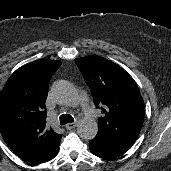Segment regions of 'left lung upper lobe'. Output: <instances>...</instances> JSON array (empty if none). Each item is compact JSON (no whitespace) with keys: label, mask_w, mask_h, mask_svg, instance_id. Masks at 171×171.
Returning <instances> with one entry per match:
<instances>
[{"label":"left lung upper lobe","mask_w":171,"mask_h":171,"mask_svg":"<svg viewBox=\"0 0 171 171\" xmlns=\"http://www.w3.org/2000/svg\"><path fill=\"white\" fill-rule=\"evenodd\" d=\"M102 117L97 135L127 150L141 130L145 107L133 78L112 61L99 56L75 59Z\"/></svg>","instance_id":"1"}]
</instances>
